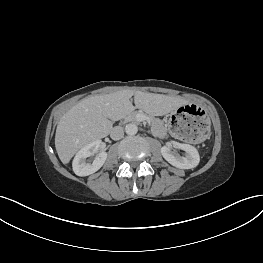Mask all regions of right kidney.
I'll return each instance as SVG.
<instances>
[{"mask_svg":"<svg viewBox=\"0 0 263 263\" xmlns=\"http://www.w3.org/2000/svg\"><path fill=\"white\" fill-rule=\"evenodd\" d=\"M101 141L95 140L82 147L73 159L72 167L73 171L78 176H88L98 171L107 159L106 152L97 153L100 147ZM97 153L93 161L87 160Z\"/></svg>","mask_w":263,"mask_h":263,"instance_id":"right-kidney-1","label":"right kidney"}]
</instances>
